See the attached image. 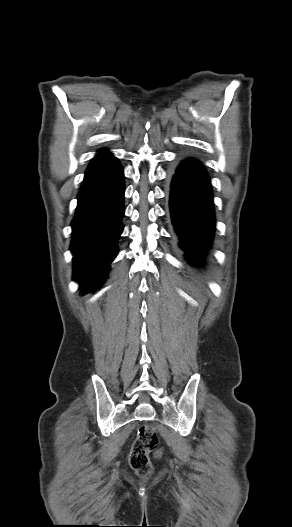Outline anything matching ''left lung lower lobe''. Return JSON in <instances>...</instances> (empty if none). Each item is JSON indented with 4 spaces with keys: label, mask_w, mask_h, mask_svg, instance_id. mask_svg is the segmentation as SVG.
<instances>
[{
    "label": "left lung lower lobe",
    "mask_w": 292,
    "mask_h": 527,
    "mask_svg": "<svg viewBox=\"0 0 292 527\" xmlns=\"http://www.w3.org/2000/svg\"><path fill=\"white\" fill-rule=\"evenodd\" d=\"M170 211L188 258L198 262L208 251L215 218L211 185L204 167L185 159L172 174Z\"/></svg>",
    "instance_id": "1"
}]
</instances>
